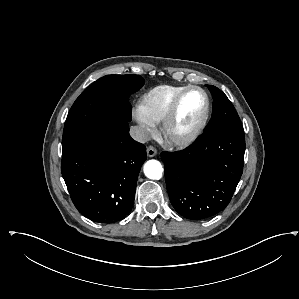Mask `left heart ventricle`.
<instances>
[{
    "label": "left heart ventricle",
    "instance_id": "1",
    "mask_svg": "<svg viewBox=\"0 0 299 299\" xmlns=\"http://www.w3.org/2000/svg\"><path fill=\"white\" fill-rule=\"evenodd\" d=\"M204 110V98L198 91L189 92L183 99L175 122L176 134L190 130L200 119Z\"/></svg>",
    "mask_w": 299,
    "mask_h": 299
}]
</instances>
